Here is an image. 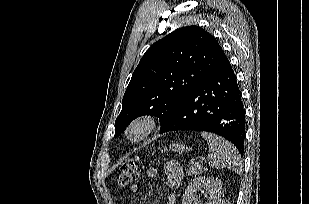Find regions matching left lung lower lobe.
<instances>
[{"label":"left lung lower lobe","instance_id":"0a47b994","mask_svg":"<svg viewBox=\"0 0 309 204\" xmlns=\"http://www.w3.org/2000/svg\"><path fill=\"white\" fill-rule=\"evenodd\" d=\"M177 130L215 133L232 142L243 155L245 109L227 57L177 107L160 133Z\"/></svg>","mask_w":309,"mask_h":204}]
</instances>
